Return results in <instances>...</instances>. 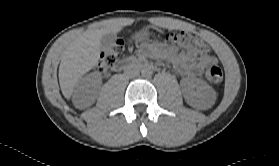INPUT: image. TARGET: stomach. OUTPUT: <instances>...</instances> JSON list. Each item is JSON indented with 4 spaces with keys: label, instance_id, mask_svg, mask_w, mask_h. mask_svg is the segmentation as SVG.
<instances>
[{
    "label": "stomach",
    "instance_id": "stomach-1",
    "mask_svg": "<svg viewBox=\"0 0 279 166\" xmlns=\"http://www.w3.org/2000/svg\"><path fill=\"white\" fill-rule=\"evenodd\" d=\"M148 35H149V29L143 28L134 34L133 40L136 42H142L148 37Z\"/></svg>",
    "mask_w": 279,
    "mask_h": 166
}]
</instances>
